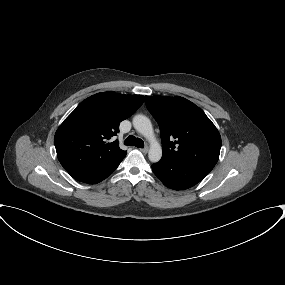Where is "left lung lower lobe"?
I'll use <instances>...</instances> for the list:
<instances>
[{
    "mask_svg": "<svg viewBox=\"0 0 285 285\" xmlns=\"http://www.w3.org/2000/svg\"><path fill=\"white\" fill-rule=\"evenodd\" d=\"M154 174L168 188L188 189L199 183L209 172L184 163H175L161 159L152 165Z\"/></svg>",
    "mask_w": 285,
    "mask_h": 285,
    "instance_id": "1",
    "label": "left lung lower lobe"
}]
</instances>
